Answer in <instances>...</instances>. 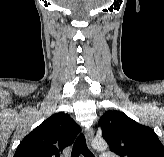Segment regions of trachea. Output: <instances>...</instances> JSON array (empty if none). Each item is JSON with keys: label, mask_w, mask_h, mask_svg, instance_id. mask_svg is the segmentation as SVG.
Here are the masks:
<instances>
[{"label": "trachea", "mask_w": 164, "mask_h": 157, "mask_svg": "<svg viewBox=\"0 0 164 157\" xmlns=\"http://www.w3.org/2000/svg\"><path fill=\"white\" fill-rule=\"evenodd\" d=\"M82 154L84 157H94L87 147L85 136L81 133L73 146L71 157H78Z\"/></svg>", "instance_id": "1"}]
</instances>
